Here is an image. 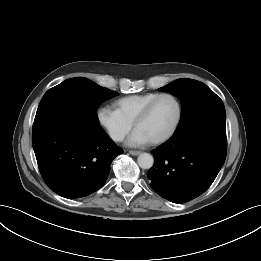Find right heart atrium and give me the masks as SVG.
Masks as SVG:
<instances>
[{"label": "right heart atrium", "mask_w": 261, "mask_h": 261, "mask_svg": "<svg viewBox=\"0 0 261 261\" xmlns=\"http://www.w3.org/2000/svg\"><path fill=\"white\" fill-rule=\"evenodd\" d=\"M98 124L114 142H121L130 132L132 123L124 119L115 109L102 106L96 112Z\"/></svg>", "instance_id": "d8ad5b80"}]
</instances>
